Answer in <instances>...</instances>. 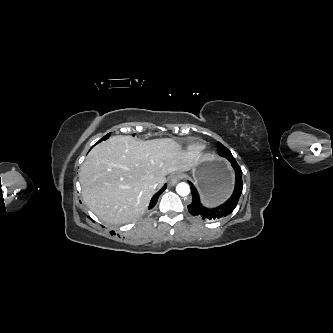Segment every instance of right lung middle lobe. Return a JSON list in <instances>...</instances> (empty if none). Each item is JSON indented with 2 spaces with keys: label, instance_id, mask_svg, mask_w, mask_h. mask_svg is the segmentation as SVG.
<instances>
[{
  "label": "right lung middle lobe",
  "instance_id": "dd1d6c3e",
  "mask_svg": "<svg viewBox=\"0 0 333 333\" xmlns=\"http://www.w3.org/2000/svg\"><path fill=\"white\" fill-rule=\"evenodd\" d=\"M109 136H110V133L107 134L105 137H103V138L101 139V141L107 139Z\"/></svg>",
  "mask_w": 333,
  "mask_h": 333
}]
</instances>
